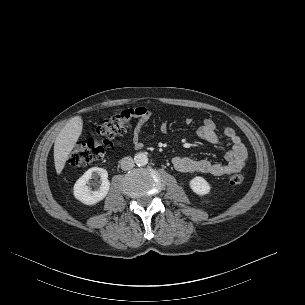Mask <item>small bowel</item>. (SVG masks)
<instances>
[{"label": "small bowel", "instance_id": "small-bowel-1", "mask_svg": "<svg viewBox=\"0 0 305 305\" xmlns=\"http://www.w3.org/2000/svg\"><path fill=\"white\" fill-rule=\"evenodd\" d=\"M129 111L137 119V123L133 129V144L135 147L140 148L143 145L140 136L145 125L151 118V112L144 106H138L129 109ZM185 123L191 125L193 118H186ZM158 128L161 133H166L169 128L168 121L166 119L162 120ZM197 135L210 144L216 146L224 145L216 133V125L212 119L207 118L203 120L197 129ZM224 135L231 143V148L226 153V163L219 164L208 160H196L186 156H176L172 160L173 166L183 173H201L212 176H226L240 172L244 169L248 159L247 148L233 128L226 127L224 129Z\"/></svg>", "mask_w": 305, "mask_h": 305}]
</instances>
